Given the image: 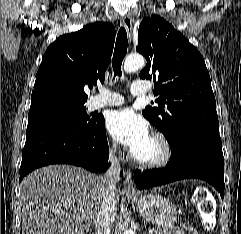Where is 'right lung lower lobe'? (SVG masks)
I'll list each match as a JSON object with an SVG mask.
<instances>
[{"instance_id":"98d812e1","label":"right lung lower lobe","mask_w":241,"mask_h":234,"mask_svg":"<svg viewBox=\"0 0 241 234\" xmlns=\"http://www.w3.org/2000/svg\"><path fill=\"white\" fill-rule=\"evenodd\" d=\"M108 158L103 117L98 118L89 129L64 124L30 127L27 128L22 151L20 180L33 170L49 164H72L91 172L105 171Z\"/></svg>"}]
</instances>
